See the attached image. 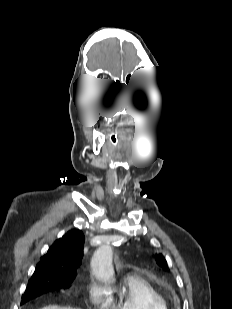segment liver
I'll list each match as a JSON object with an SVG mask.
<instances>
[{"label": "liver", "instance_id": "1", "mask_svg": "<svg viewBox=\"0 0 232 309\" xmlns=\"http://www.w3.org/2000/svg\"><path fill=\"white\" fill-rule=\"evenodd\" d=\"M41 309H73V308H71V307H61V306H57V305H50V306L43 307Z\"/></svg>", "mask_w": 232, "mask_h": 309}]
</instances>
